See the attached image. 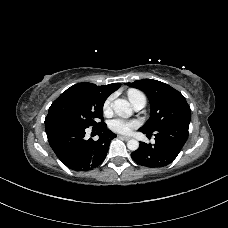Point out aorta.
<instances>
[{
	"label": "aorta",
	"instance_id": "1",
	"mask_svg": "<svg viewBox=\"0 0 228 228\" xmlns=\"http://www.w3.org/2000/svg\"><path fill=\"white\" fill-rule=\"evenodd\" d=\"M112 109L116 114L123 117H129L132 115V109L130 103L125 99H117L112 103ZM127 147L131 151H135L139 148V142L135 139H131L127 142Z\"/></svg>",
	"mask_w": 228,
	"mask_h": 228
}]
</instances>
